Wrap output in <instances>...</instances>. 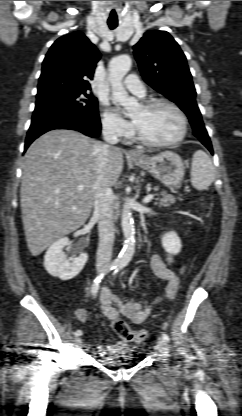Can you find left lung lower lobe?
I'll return each instance as SVG.
<instances>
[{
  "label": "left lung lower lobe",
  "instance_id": "left-lung-lower-lobe-1",
  "mask_svg": "<svg viewBox=\"0 0 242 416\" xmlns=\"http://www.w3.org/2000/svg\"><path fill=\"white\" fill-rule=\"evenodd\" d=\"M202 143L208 148V150L211 152V154H213V149H212L210 139L206 140V141H203Z\"/></svg>",
  "mask_w": 242,
  "mask_h": 416
}]
</instances>
